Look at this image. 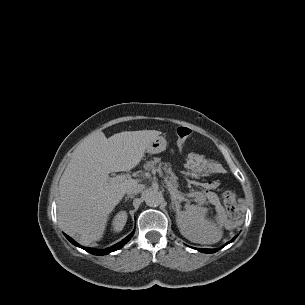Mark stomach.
I'll list each match as a JSON object with an SVG mask.
<instances>
[{"instance_id":"1","label":"stomach","mask_w":305,"mask_h":305,"mask_svg":"<svg viewBox=\"0 0 305 305\" xmlns=\"http://www.w3.org/2000/svg\"><path fill=\"white\" fill-rule=\"evenodd\" d=\"M167 148V141L163 136H158L154 139L146 148V152L149 154H158L165 151Z\"/></svg>"}]
</instances>
